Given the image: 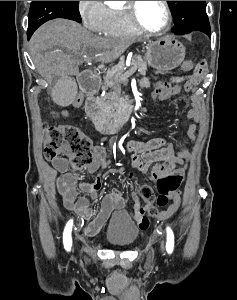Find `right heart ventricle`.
Masks as SVG:
<instances>
[{
    "instance_id": "1",
    "label": "right heart ventricle",
    "mask_w": 237,
    "mask_h": 300,
    "mask_svg": "<svg viewBox=\"0 0 237 300\" xmlns=\"http://www.w3.org/2000/svg\"><path fill=\"white\" fill-rule=\"evenodd\" d=\"M111 28L110 34L121 36H136L140 34L131 23L124 6L110 9Z\"/></svg>"
}]
</instances>
